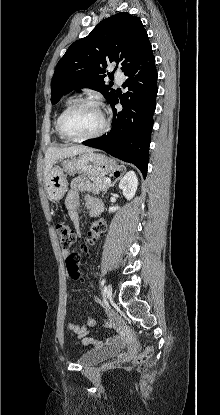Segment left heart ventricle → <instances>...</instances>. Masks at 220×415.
<instances>
[{
	"instance_id": "1",
	"label": "left heart ventricle",
	"mask_w": 220,
	"mask_h": 415,
	"mask_svg": "<svg viewBox=\"0 0 220 415\" xmlns=\"http://www.w3.org/2000/svg\"><path fill=\"white\" fill-rule=\"evenodd\" d=\"M103 123L100 110L85 105L72 112L65 120L64 129L72 137H84L97 132Z\"/></svg>"
}]
</instances>
